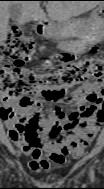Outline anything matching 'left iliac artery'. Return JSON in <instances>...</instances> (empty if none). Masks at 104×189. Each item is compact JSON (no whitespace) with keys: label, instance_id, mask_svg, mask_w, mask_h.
<instances>
[{"label":"left iliac artery","instance_id":"left-iliac-artery-1","mask_svg":"<svg viewBox=\"0 0 104 189\" xmlns=\"http://www.w3.org/2000/svg\"><path fill=\"white\" fill-rule=\"evenodd\" d=\"M90 179H91V181L93 182L94 181V179H95V176H94V170L91 168L90 169Z\"/></svg>","mask_w":104,"mask_h":189}]
</instances>
